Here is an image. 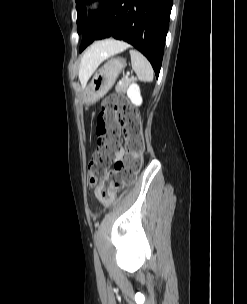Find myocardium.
Segmentation results:
<instances>
[{"instance_id": "1", "label": "myocardium", "mask_w": 247, "mask_h": 304, "mask_svg": "<svg viewBox=\"0 0 247 304\" xmlns=\"http://www.w3.org/2000/svg\"><path fill=\"white\" fill-rule=\"evenodd\" d=\"M106 4V0H92L86 6L87 14L92 15L101 11Z\"/></svg>"}]
</instances>
